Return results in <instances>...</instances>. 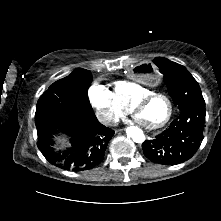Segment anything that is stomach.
Wrapping results in <instances>:
<instances>
[{
  "instance_id": "stomach-1",
  "label": "stomach",
  "mask_w": 221,
  "mask_h": 221,
  "mask_svg": "<svg viewBox=\"0 0 221 221\" xmlns=\"http://www.w3.org/2000/svg\"><path fill=\"white\" fill-rule=\"evenodd\" d=\"M131 77L137 83L154 85L160 79V72L156 67L151 66L148 61L139 60L131 70Z\"/></svg>"
}]
</instances>
